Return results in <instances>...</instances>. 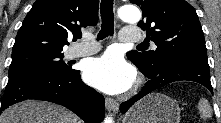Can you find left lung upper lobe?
<instances>
[{"instance_id": "obj_1", "label": "left lung upper lobe", "mask_w": 221, "mask_h": 123, "mask_svg": "<svg viewBox=\"0 0 221 123\" xmlns=\"http://www.w3.org/2000/svg\"><path fill=\"white\" fill-rule=\"evenodd\" d=\"M141 7L138 23L157 48L130 51L127 57L143 69H153L181 59L207 62L204 34L195 9L185 0H130ZM142 51V50H141Z\"/></svg>"}]
</instances>
